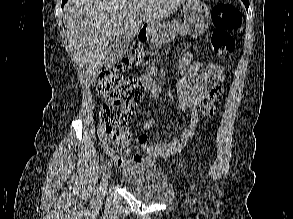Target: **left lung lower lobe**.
<instances>
[{"label":"left lung lower lobe","instance_id":"1","mask_svg":"<svg viewBox=\"0 0 293 219\" xmlns=\"http://www.w3.org/2000/svg\"><path fill=\"white\" fill-rule=\"evenodd\" d=\"M243 3L245 4L246 9L248 10L249 7V0H242Z\"/></svg>","mask_w":293,"mask_h":219}]
</instances>
